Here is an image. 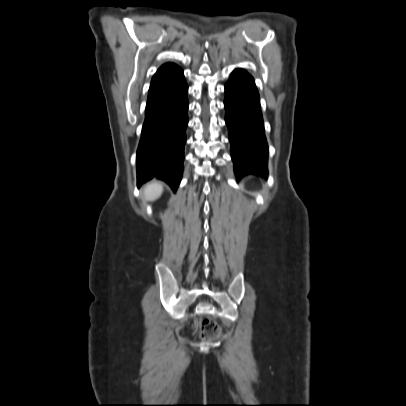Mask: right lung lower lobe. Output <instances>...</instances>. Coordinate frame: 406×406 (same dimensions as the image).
I'll return each instance as SVG.
<instances>
[{"label": "right lung lower lobe", "mask_w": 406, "mask_h": 406, "mask_svg": "<svg viewBox=\"0 0 406 406\" xmlns=\"http://www.w3.org/2000/svg\"><path fill=\"white\" fill-rule=\"evenodd\" d=\"M188 86L182 70L172 68L152 82L137 150L138 184L156 177L176 191L182 178Z\"/></svg>", "instance_id": "obj_1"}]
</instances>
